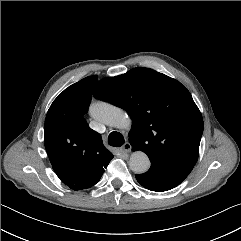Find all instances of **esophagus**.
<instances>
[{"instance_id": "34e87169", "label": "esophagus", "mask_w": 241, "mask_h": 241, "mask_svg": "<svg viewBox=\"0 0 241 241\" xmlns=\"http://www.w3.org/2000/svg\"><path fill=\"white\" fill-rule=\"evenodd\" d=\"M121 152L123 153H129L131 150V145L129 142H126L121 148H120Z\"/></svg>"}]
</instances>
